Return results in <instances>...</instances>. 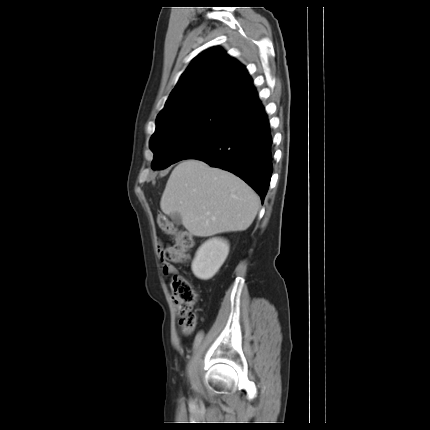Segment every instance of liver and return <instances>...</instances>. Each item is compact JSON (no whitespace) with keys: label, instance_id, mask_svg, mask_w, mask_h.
I'll list each match as a JSON object with an SVG mask.
<instances>
[{"label":"liver","instance_id":"liver-1","mask_svg":"<svg viewBox=\"0 0 430 430\" xmlns=\"http://www.w3.org/2000/svg\"><path fill=\"white\" fill-rule=\"evenodd\" d=\"M259 206L258 195L241 178L197 159L173 169L160 202L164 214H179L197 237L244 231Z\"/></svg>","mask_w":430,"mask_h":430}]
</instances>
